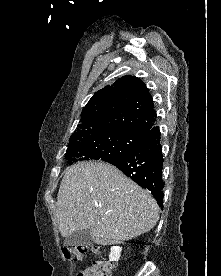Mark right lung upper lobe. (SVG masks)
<instances>
[{
    "instance_id": "right-lung-upper-lobe-1",
    "label": "right lung upper lobe",
    "mask_w": 221,
    "mask_h": 276,
    "mask_svg": "<svg viewBox=\"0 0 221 276\" xmlns=\"http://www.w3.org/2000/svg\"><path fill=\"white\" fill-rule=\"evenodd\" d=\"M81 116L69 141L112 132L144 138L153 128L157 114L142 80L127 75L97 91Z\"/></svg>"
}]
</instances>
